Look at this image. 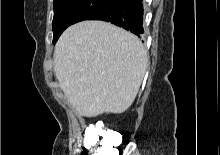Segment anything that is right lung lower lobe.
Segmentation results:
<instances>
[{
  "label": "right lung lower lobe",
  "mask_w": 220,
  "mask_h": 155,
  "mask_svg": "<svg viewBox=\"0 0 220 155\" xmlns=\"http://www.w3.org/2000/svg\"><path fill=\"white\" fill-rule=\"evenodd\" d=\"M86 20L111 22L134 34L143 33L142 0H120L116 4L91 15Z\"/></svg>",
  "instance_id": "right-lung-lower-lobe-1"
}]
</instances>
